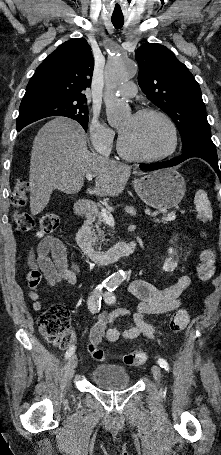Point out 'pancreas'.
Listing matches in <instances>:
<instances>
[{
	"instance_id": "1",
	"label": "pancreas",
	"mask_w": 221,
	"mask_h": 455,
	"mask_svg": "<svg viewBox=\"0 0 221 455\" xmlns=\"http://www.w3.org/2000/svg\"><path fill=\"white\" fill-rule=\"evenodd\" d=\"M103 225H104V220H103L101 214H98L97 221L94 225V229L91 232L92 240L96 245H101L104 242L106 233L104 231L105 227Z\"/></svg>"
}]
</instances>
